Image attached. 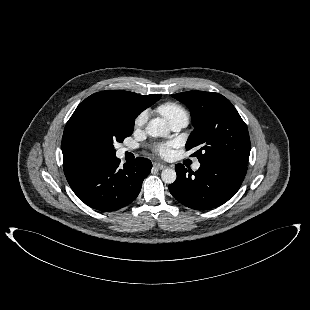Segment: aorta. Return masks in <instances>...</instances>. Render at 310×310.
Masks as SVG:
<instances>
[{"instance_id":"1","label":"aorta","mask_w":310,"mask_h":310,"mask_svg":"<svg viewBox=\"0 0 310 310\" xmlns=\"http://www.w3.org/2000/svg\"><path fill=\"white\" fill-rule=\"evenodd\" d=\"M146 133L152 137H165L169 133V129L165 124V121L160 118L152 119L148 122ZM176 171L171 168L164 169L161 173V179L166 184H172L176 180Z\"/></svg>"}]
</instances>
